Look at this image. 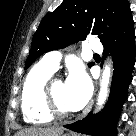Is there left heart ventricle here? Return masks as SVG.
Returning <instances> with one entry per match:
<instances>
[{
	"mask_svg": "<svg viewBox=\"0 0 136 136\" xmlns=\"http://www.w3.org/2000/svg\"><path fill=\"white\" fill-rule=\"evenodd\" d=\"M53 93L58 106L64 111H72L66 100V88L65 83L62 81H56L53 86Z\"/></svg>",
	"mask_w": 136,
	"mask_h": 136,
	"instance_id": "left-heart-ventricle-1",
	"label": "left heart ventricle"
}]
</instances>
